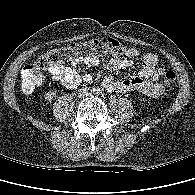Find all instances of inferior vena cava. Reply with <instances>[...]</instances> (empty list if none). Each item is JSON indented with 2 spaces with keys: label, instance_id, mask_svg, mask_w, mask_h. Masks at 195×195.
Segmentation results:
<instances>
[{
  "label": "inferior vena cava",
  "instance_id": "inferior-vena-cava-1",
  "mask_svg": "<svg viewBox=\"0 0 195 195\" xmlns=\"http://www.w3.org/2000/svg\"><path fill=\"white\" fill-rule=\"evenodd\" d=\"M91 90H89V89H87V88H84V89H81L80 90V95L82 96V97H87V96H89V95H91Z\"/></svg>",
  "mask_w": 195,
  "mask_h": 195
}]
</instances>
